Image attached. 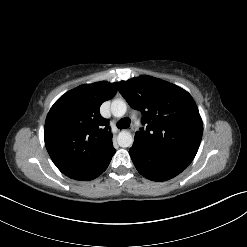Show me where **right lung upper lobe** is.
I'll return each mask as SVG.
<instances>
[{
  "label": "right lung upper lobe",
  "mask_w": 247,
  "mask_h": 247,
  "mask_svg": "<svg viewBox=\"0 0 247 247\" xmlns=\"http://www.w3.org/2000/svg\"><path fill=\"white\" fill-rule=\"evenodd\" d=\"M116 92L115 83L84 84L64 94L48 113L45 145L54 164L66 176L88 171L113 149L111 129L99 108Z\"/></svg>",
  "instance_id": "right-lung-upper-lobe-1"
}]
</instances>
